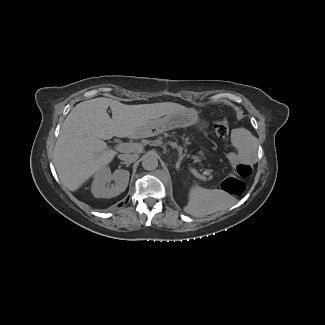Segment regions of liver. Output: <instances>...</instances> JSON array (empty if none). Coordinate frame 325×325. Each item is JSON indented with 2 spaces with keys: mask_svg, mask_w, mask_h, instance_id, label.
Returning a JSON list of instances; mask_svg holds the SVG:
<instances>
[{
  "mask_svg": "<svg viewBox=\"0 0 325 325\" xmlns=\"http://www.w3.org/2000/svg\"><path fill=\"white\" fill-rule=\"evenodd\" d=\"M176 112L197 113L173 102L125 105L99 97L77 104L63 122L54 148L53 163L62 184L76 191L114 159L117 152L103 140L142 138L140 131L152 119Z\"/></svg>",
  "mask_w": 325,
  "mask_h": 325,
  "instance_id": "6515ba94",
  "label": "liver"
}]
</instances>
